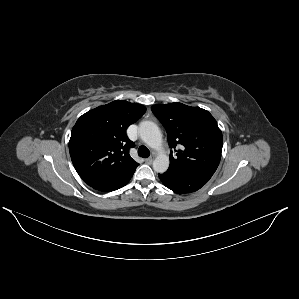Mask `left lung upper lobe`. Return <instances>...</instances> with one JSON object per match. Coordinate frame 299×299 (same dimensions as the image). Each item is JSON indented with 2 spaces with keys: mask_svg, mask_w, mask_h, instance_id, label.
<instances>
[{
  "mask_svg": "<svg viewBox=\"0 0 299 299\" xmlns=\"http://www.w3.org/2000/svg\"><path fill=\"white\" fill-rule=\"evenodd\" d=\"M151 110L166 129L169 146L175 149L178 144L182 145L176 157L171 153L166 172L212 176L223 146L222 133L213 116L202 108L178 102L154 105Z\"/></svg>",
  "mask_w": 299,
  "mask_h": 299,
  "instance_id": "obj_1",
  "label": "left lung upper lobe"
}]
</instances>
